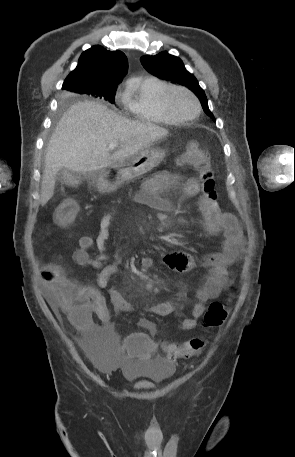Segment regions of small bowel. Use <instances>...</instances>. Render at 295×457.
Returning a JSON list of instances; mask_svg holds the SVG:
<instances>
[{
	"label": "small bowel",
	"mask_w": 295,
	"mask_h": 457,
	"mask_svg": "<svg viewBox=\"0 0 295 457\" xmlns=\"http://www.w3.org/2000/svg\"><path fill=\"white\" fill-rule=\"evenodd\" d=\"M170 189L180 190L186 198L195 197L200 192V186L196 179L187 178L178 173L163 172L149 178L142 189L131 197L130 202L148 206L159 211L160 214L170 213L174 210L172 202L161 196L162 191ZM198 205L207 230L212 234H222V250L203 258V265L208 268L209 275L204 286L196 293L197 301L192 307L191 316L182 320L181 326L184 330L194 329L198 319L205 312V303L217 298L223 290L231 285L228 267L240 257L244 243L242 228L234 215L221 211L217 204L210 203L202 197ZM115 213L116 210H113L103 217L96 238L88 235L81 236L79 247L73 253V259L77 265L101 269L97 286L82 287L85 299L82 313L76 320L69 318L77 331L78 338H114L109 310L101 292L104 289L108 290L110 302L119 313H131L138 310L136 306L123 297L115 285L111 284V281L118 274V267L115 264L106 265L105 243L112 235L111 221ZM178 222L183 226L187 223L184 218H179ZM94 245L97 247L99 255L96 258H91L88 250ZM141 262L144 267H150L153 260L144 257ZM163 262L170 269L178 272H187L196 266L194 259L183 252L167 253L163 256ZM43 282L49 303L52 309L57 312L60 305L54 293V279L49 274L44 273ZM175 309V303L168 300L145 307L143 310L157 316H167L173 313ZM92 314L100 319L101 325L93 321ZM139 324L146 330H150L151 334L156 332L155 324L148 319L142 318ZM151 341L154 340L151 338ZM157 346L159 347L158 343ZM168 363L172 365L173 362Z\"/></svg>",
	"instance_id": "small-bowel-1"
}]
</instances>
